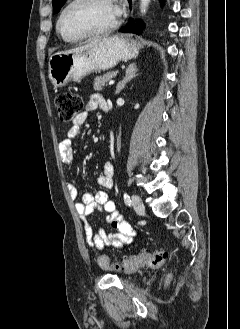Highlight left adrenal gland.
Wrapping results in <instances>:
<instances>
[{
  "label": "left adrenal gland",
  "instance_id": "1",
  "mask_svg": "<svg viewBox=\"0 0 240 329\" xmlns=\"http://www.w3.org/2000/svg\"><path fill=\"white\" fill-rule=\"evenodd\" d=\"M137 66L136 63H133L131 65H129L126 69V73H125V77L123 78L122 81H120L117 84V88H116V92L115 94H119L121 92L122 89H124V87L126 86V84L128 82H130L133 78H135L137 76Z\"/></svg>",
  "mask_w": 240,
  "mask_h": 329
}]
</instances>
